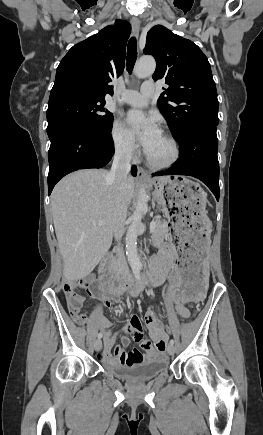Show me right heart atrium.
Returning <instances> with one entry per match:
<instances>
[{
  "label": "right heart atrium",
  "instance_id": "d8ad5b80",
  "mask_svg": "<svg viewBox=\"0 0 263 435\" xmlns=\"http://www.w3.org/2000/svg\"><path fill=\"white\" fill-rule=\"evenodd\" d=\"M110 139L117 156L125 160H131L136 157L138 152L137 146L119 121L113 122Z\"/></svg>",
  "mask_w": 263,
  "mask_h": 435
}]
</instances>
